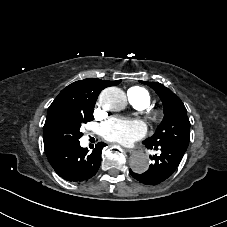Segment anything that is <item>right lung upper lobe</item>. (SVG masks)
Returning a JSON list of instances; mask_svg holds the SVG:
<instances>
[{
  "mask_svg": "<svg viewBox=\"0 0 227 227\" xmlns=\"http://www.w3.org/2000/svg\"><path fill=\"white\" fill-rule=\"evenodd\" d=\"M120 82L121 80L105 81L97 78L76 81L63 89L49 108L60 102H68L76 105H95L98 95L104 88L116 86Z\"/></svg>",
  "mask_w": 227,
  "mask_h": 227,
  "instance_id": "obj_1",
  "label": "right lung upper lobe"
}]
</instances>
